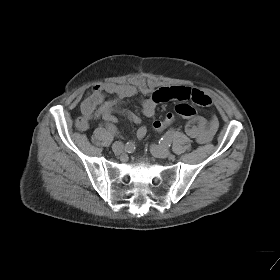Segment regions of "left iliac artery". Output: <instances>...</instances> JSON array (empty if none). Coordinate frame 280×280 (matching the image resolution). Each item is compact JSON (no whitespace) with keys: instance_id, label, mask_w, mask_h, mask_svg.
I'll use <instances>...</instances> for the list:
<instances>
[{"instance_id":"left-iliac-artery-1","label":"left iliac artery","mask_w":280,"mask_h":280,"mask_svg":"<svg viewBox=\"0 0 280 280\" xmlns=\"http://www.w3.org/2000/svg\"><path fill=\"white\" fill-rule=\"evenodd\" d=\"M174 128L169 129L164 136L161 138L162 142L166 145H170L174 136Z\"/></svg>"}]
</instances>
